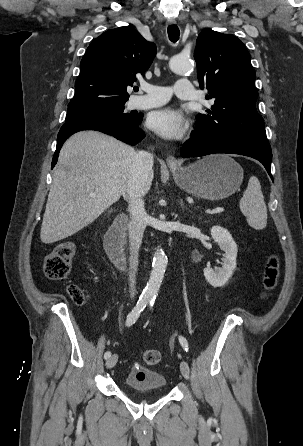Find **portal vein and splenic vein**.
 Wrapping results in <instances>:
<instances>
[{
  "label": "portal vein and splenic vein",
  "instance_id": "obj_1",
  "mask_svg": "<svg viewBox=\"0 0 303 446\" xmlns=\"http://www.w3.org/2000/svg\"><path fill=\"white\" fill-rule=\"evenodd\" d=\"M95 195V193H90V196H94ZM224 211V208L223 207H217V208H215V209H213L212 211H210L209 213L210 214H217V213H221V212H223Z\"/></svg>",
  "mask_w": 303,
  "mask_h": 446
}]
</instances>
